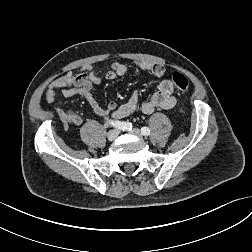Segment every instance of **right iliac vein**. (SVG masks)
I'll return each instance as SVG.
<instances>
[{"label":"right iliac vein","mask_w":252,"mask_h":252,"mask_svg":"<svg viewBox=\"0 0 252 252\" xmlns=\"http://www.w3.org/2000/svg\"><path fill=\"white\" fill-rule=\"evenodd\" d=\"M119 132L117 130H110L108 133H107V138L109 141H113L117 138Z\"/></svg>","instance_id":"1"}]
</instances>
